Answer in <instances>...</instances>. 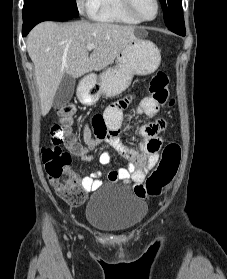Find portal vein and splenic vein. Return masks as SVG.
I'll use <instances>...</instances> for the list:
<instances>
[{
  "label": "portal vein and splenic vein",
  "instance_id": "18ae733b",
  "mask_svg": "<svg viewBox=\"0 0 227 279\" xmlns=\"http://www.w3.org/2000/svg\"><path fill=\"white\" fill-rule=\"evenodd\" d=\"M95 48V46L93 45V44H88L87 45V50L88 51H91V50H93Z\"/></svg>",
  "mask_w": 227,
  "mask_h": 279
}]
</instances>
